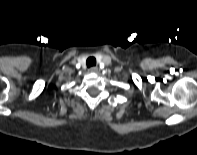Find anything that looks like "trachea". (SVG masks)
Masks as SVG:
<instances>
[{
    "label": "trachea",
    "mask_w": 197,
    "mask_h": 155,
    "mask_svg": "<svg viewBox=\"0 0 197 155\" xmlns=\"http://www.w3.org/2000/svg\"><path fill=\"white\" fill-rule=\"evenodd\" d=\"M93 60L92 58L87 60V65L89 66V61ZM96 63V62H95Z\"/></svg>",
    "instance_id": "trachea-1"
}]
</instances>
